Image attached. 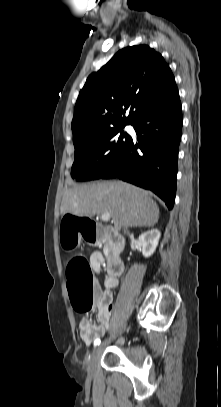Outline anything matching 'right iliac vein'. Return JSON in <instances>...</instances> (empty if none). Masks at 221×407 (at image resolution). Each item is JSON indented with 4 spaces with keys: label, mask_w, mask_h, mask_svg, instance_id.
Wrapping results in <instances>:
<instances>
[{
    "label": "right iliac vein",
    "mask_w": 221,
    "mask_h": 407,
    "mask_svg": "<svg viewBox=\"0 0 221 407\" xmlns=\"http://www.w3.org/2000/svg\"><path fill=\"white\" fill-rule=\"evenodd\" d=\"M126 328V324H124L122 326V328L117 331L112 337H110L108 340H106L105 342H103L102 344L98 345L95 350L92 353L91 359L89 361L88 364V372L91 374L93 373V371L95 370L96 364L102 354V351L104 349V347L109 344L110 342H112L114 339H116L117 336L121 335L123 333V331Z\"/></svg>",
    "instance_id": "right-iliac-vein-1"
}]
</instances>
